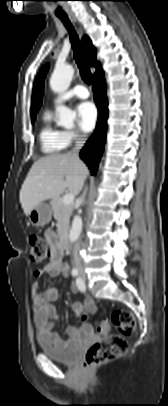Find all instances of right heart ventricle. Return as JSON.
I'll list each match as a JSON object with an SVG mask.
<instances>
[{"instance_id":"1","label":"right heart ventricle","mask_w":168,"mask_h":406,"mask_svg":"<svg viewBox=\"0 0 168 406\" xmlns=\"http://www.w3.org/2000/svg\"><path fill=\"white\" fill-rule=\"evenodd\" d=\"M39 139L42 151L47 154L59 153L68 146L64 131L52 124V116L49 111L44 112L42 116Z\"/></svg>"}]
</instances>
